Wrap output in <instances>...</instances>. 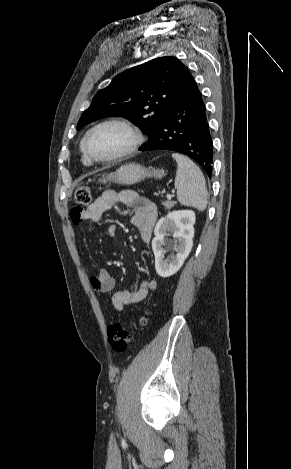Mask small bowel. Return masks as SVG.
Instances as JSON below:
<instances>
[{
  "instance_id": "small-bowel-1",
  "label": "small bowel",
  "mask_w": 291,
  "mask_h": 469,
  "mask_svg": "<svg viewBox=\"0 0 291 469\" xmlns=\"http://www.w3.org/2000/svg\"><path fill=\"white\" fill-rule=\"evenodd\" d=\"M117 202H121L133 209L132 222L138 229L142 241L149 243L157 220L156 206L150 200L132 190L120 192L106 190L85 210L81 209L76 215L71 213V219L77 227H81L84 221L98 223L103 214ZM116 231L117 227L114 224L107 227V234L110 238L115 236ZM90 283L94 290L101 293L110 292L115 287V279L105 268H99L96 274L91 276ZM155 286V281L145 279L139 283L135 290L115 292L112 296V305L115 310L122 311L126 306L138 303L146 298Z\"/></svg>"
}]
</instances>
